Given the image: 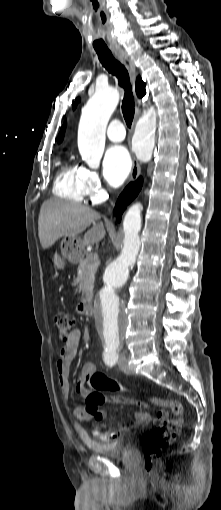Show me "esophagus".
<instances>
[{"label":"esophagus","mask_w":221,"mask_h":510,"mask_svg":"<svg viewBox=\"0 0 221 510\" xmlns=\"http://www.w3.org/2000/svg\"><path fill=\"white\" fill-rule=\"evenodd\" d=\"M116 56L121 61V63L124 64V66L127 68L133 83H135V80L137 77V71H136L133 60L125 52H119L116 54ZM134 96H135V118L133 121V127H134V125L139 117V113H140V109H139L140 99L137 97L135 91H134ZM140 172H141L140 164L137 161V159L135 157H133L132 169H131V174H130V182H135L137 180V178L139 177Z\"/></svg>","instance_id":"1"}]
</instances>
